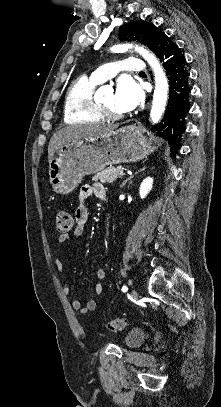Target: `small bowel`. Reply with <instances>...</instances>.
<instances>
[{"label": "small bowel", "instance_id": "small-bowel-1", "mask_svg": "<svg viewBox=\"0 0 221 407\" xmlns=\"http://www.w3.org/2000/svg\"><path fill=\"white\" fill-rule=\"evenodd\" d=\"M94 194V196L100 200H105L107 198L105 188L100 184H94L92 187L83 186L78 194V203L77 208L74 213L73 219V229L71 234H61L58 236V243L68 242L71 237H79L84 232L86 223L88 221L89 211H88V199ZM56 266L59 270L62 268V262L60 259L56 260ZM95 276L98 282L94 286V292L97 295L103 293L104 287L102 281L106 279V270L103 268H98L95 271ZM64 292L69 295L71 293L70 289L65 286ZM72 308L79 311L82 314L88 313L95 310L97 303L95 300H88L86 304H82L79 299H72L71 301Z\"/></svg>", "mask_w": 221, "mask_h": 407}]
</instances>
